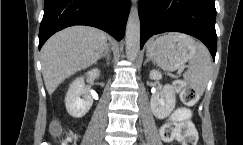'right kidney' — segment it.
Listing matches in <instances>:
<instances>
[{"mask_svg":"<svg viewBox=\"0 0 243 145\" xmlns=\"http://www.w3.org/2000/svg\"><path fill=\"white\" fill-rule=\"evenodd\" d=\"M89 78H95L99 76V70L93 69L87 74ZM84 77L76 78L68 89V92L65 97V105L68 113L75 117H83L91 108L93 104V99L91 95L84 88ZM81 96L83 98H81Z\"/></svg>","mask_w":243,"mask_h":145,"instance_id":"1","label":"right kidney"}]
</instances>
